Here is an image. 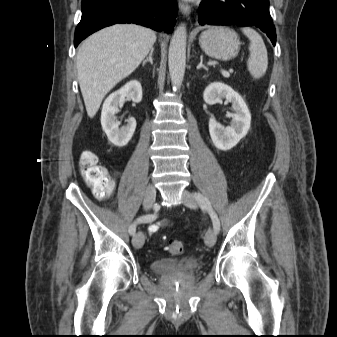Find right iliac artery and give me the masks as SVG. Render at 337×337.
Masks as SVG:
<instances>
[{
    "mask_svg": "<svg viewBox=\"0 0 337 337\" xmlns=\"http://www.w3.org/2000/svg\"><path fill=\"white\" fill-rule=\"evenodd\" d=\"M157 215L156 213L154 214H147L139 217L133 224L130 225L129 227V234L134 235L136 232V225L138 223H147V222H152L156 219Z\"/></svg>",
    "mask_w": 337,
    "mask_h": 337,
    "instance_id": "obj_1",
    "label": "right iliac artery"
}]
</instances>
